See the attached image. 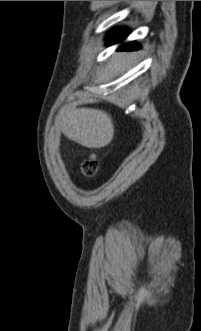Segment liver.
<instances>
[{"mask_svg": "<svg viewBox=\"0 0 201 331\" xmlns=\"http://www.w3.org/2000/svg\"><path fill=\"white\" fill-rule=\"evenodd\" d=\"M61 132L70 140L88 148L107 146L114 136L110 115L98 109H69L63 107L57 114Z\"/></svg>", "mask_w": 201, "mask_h": 331, "instance_id": "obj_1", "label": "liver"}]
</instances>
